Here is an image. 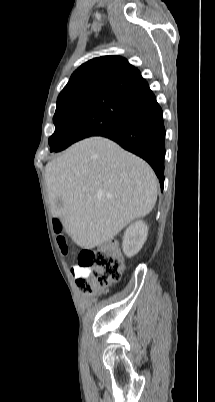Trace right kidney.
<instances>
[{
  "mask_svg": "<svg viewBox=\"0 0 215 402\" xmlns=\"http://www.w3.org/2000/svg\"><path fill=\"white\" fill-rule=\"evenodd\" d=\"M148 235V227L143 221L131 224L125 231L123 237V252L126 256L132 257L137 254L144 245Z\"/></svg>",
  "mask_w": 215,
  "mask_h": 402,
  "instance_id": "obj_1",
  "label": "right kidney"
}]
</instances>
